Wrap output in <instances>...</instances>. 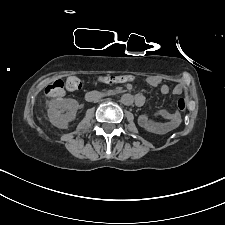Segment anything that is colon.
<instances>
[{
	"instance_id": "colon-1",
	"label": "colon",
	"mask_w": 225,
	"mask_h": 225,
	"mask_svg": "<svg viewBox=\"0 0 225 225\" xmlns=\"http://www.w3.org/2000/svg\"><path fill=\"white\" fill-rule=\"evenodd\" d=\"M135 80V77L132 75H106L98 78V81L105 84H114V83H124ZM81 81L77 77H69L66 82L62 80H57L47 86L45 89L46 95L50 97H58L63 94L64 90L70 92L77 91L81 88ZM187 107V102L184 98H180L177 101V108L180 111L185 110Z\"/></svg>"
}]
</instances>
